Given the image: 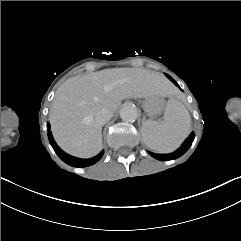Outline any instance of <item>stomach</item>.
<instances>
[{
    "label": "stomach",
    "mask_w": 241,
    "mask_h": 241,
    "mask_svg": "<svg viewBox=\"0 0 241 241\" xmlns=\"http://www.w3.org/2000/svg\"><path fill=\"white\" fill-rule=\"evenodd\" d=\"M142 106L147 115L153 118L164 111L165 102L160 96H149L142 102Z\"/></svg>",
    "instance_id": "1"
}]
</instances>
